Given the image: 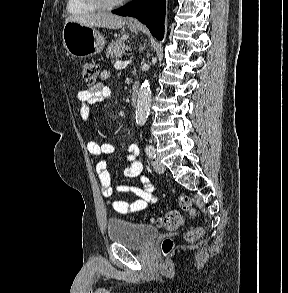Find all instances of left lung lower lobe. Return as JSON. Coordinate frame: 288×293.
I'll list each match as a JSON object with an SVG mask.
<instances>
[{
	"mask_svg": "<svg viewBox=\"0 0 288 293\" xmlns=\"http://www.w3.org/2000/svg\"><path fill=\"white\" fill-rule=\"evenodd\" d=\"M112 13L136 17L140 22L146 24L154 36H158L159 39L163 37L165 0H132Z\"/></svg>",
	"mask_w": 288,
	"mask_h": 293,
	"instance_id": "1",
	"label": "left lung lower lobe"
}]
</instances>
